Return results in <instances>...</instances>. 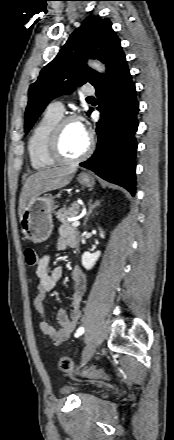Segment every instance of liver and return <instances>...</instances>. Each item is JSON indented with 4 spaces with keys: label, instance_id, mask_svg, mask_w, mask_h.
I'll return each instance as SVG.
<instances>
[{
    "label": "liver",
    "instance_id": "1",
    "mask_svg": "<svg viewBox=\"0 0 174 440\" xmlns=\"http://www.w3.org/2000/svg\"><path fill=\"white\" fill-rule=\"evenodd\" d=\"M75 169H45L27 178L19 198L18 213L20 221L26 207L41 194L65 187L72 180Z\"/></svg>",
    "mask_w": 174,
    "mask_h": 440
}]
</instances>
